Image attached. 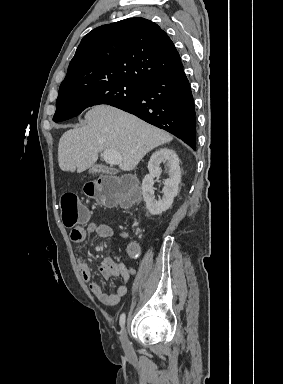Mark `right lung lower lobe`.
Masks as SVG:
<instances>
[{"label":"right lung lower lobe","mask_w":283,"mask_h":384,"mask_svg":"<svg viewBox=\"0 0 283 384\" xmlns=\"http://www.w3.org/2000/svg\"><path fill=\"white\" fill-rule=\"evenodd\" d=\"M113 106L170 132L196 150L195 106L183 68L142 84L136 98Z\"/></svg>","instance_id":"obj_1"}]
</instances>
